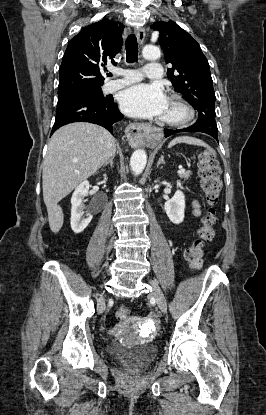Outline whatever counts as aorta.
Here are the masks:
<instances>
[{"instance_id":"aorta-1","label":"aorta","mask_w":266,"mask_h":415,"mask_svg":"<svg viewBox=\"0 0 266 415\" xmlns=\"http://www.w3.org/2000/svg\"><path fill=\"white\" fill-rule=\"evenodd\" d=\"M142 55L147 60H155L160 57V50L153 45H146L143 48ZM147 163L146 152L142 149L134 151L130 159V167L134 174L139 175L143 172Z\"/></svg>"}]
</instances>
